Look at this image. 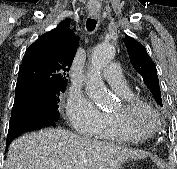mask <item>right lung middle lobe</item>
<instances>
[{"label": "right lung middle lobe", "mask_w": 177, "mask_h": 169, "mask_svg": "<svg viewBox=\"0 0 177 169\" xmlns=\"http://www.w3.org/2000/svg\"><path fill=\"white\" fill-rule=\"evenodd\" d=\"M64 90L65 87L52 90L31 88L19 95H15L11 116L42 114L57 120L59 118V97Z\"/></svg>", "instance_id": "right-lung-middle-lobe-1"}]
</instances>
